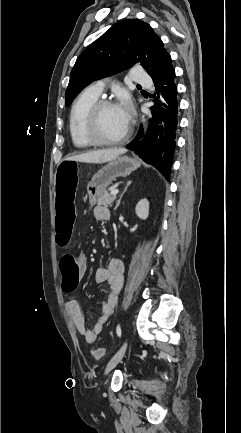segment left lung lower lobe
<instances>
[{"label": "left lung lower lobe", "instance_id": "0a47b994", "mask_svg": "<svg viewBox=\"0 0 241 433\" xmlns=\"http://www.w3.org/2000/svg\"><path fill=\"white\" fill-rule=\"evenodd\" d=\"M175 70L170 65L165 73L154 79L156 100L146 135L140 128L135 139L126 147L133 150L146 163L156 167L167 179L173 162L178 125L177 87Z\"/></svg>", "mask_w": 241, "mask_h": 433}]
</instances>
